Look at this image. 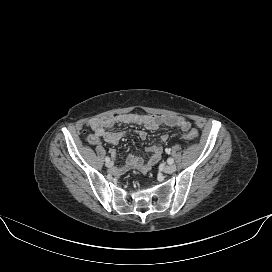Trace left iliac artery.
I'll use <instances>...</instances> for the list:
<instances>
[{
	"label": "left iliac artery",
	"mask_w": 272,
	"mask_h": 272,
	"mask_svg": "<svg viewBox=\"0 0 272 272\" xmlns=\"http://www.w3.org/2000/svg\"><path fill=\"white\" fill-rule=\"evenodd\" d=\"M166 153H170L171 149L170 148H167L165 149ZM168 164H172L174 162V159L173 158H168L167 160Z\"/></svg>",
	"instance_id": "obj_1"
}]
</instances>
